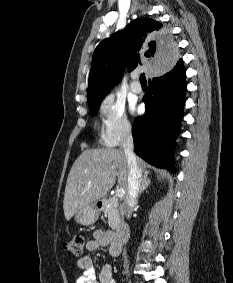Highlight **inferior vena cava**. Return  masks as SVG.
I'll list each match as a JSON object with an SVG mask.
<instances>
[{"instance_id":"1","label":"inferior vena cava","mask_w":233,"mask_h":283,"mask_svg":"<svg viewBox=\"0 0 233 283\" xmlns=\"http://www.w3.org/2000/svg\"><path fill=\"white\" fill-rule=\"evenodd\" d=\"M120 148L121 150H123L127 158L129 169L128 188L124 206L125 216L127 217V219H129L132 214V208L136 204L139 188L143 180L142 171L139 168L137 158L133 152V137L130 127L126 128V130L124 131ZM124 267L128 268L127 257H125Z\"/></svg>"}]
</instances>
